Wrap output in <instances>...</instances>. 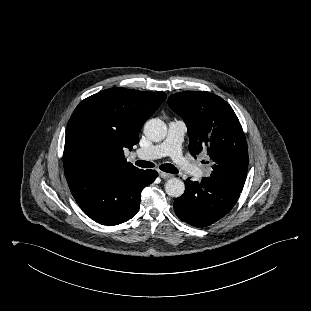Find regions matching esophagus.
Here are the masks:
<instances>
[{
  "label": "esophagus",
  "mask_w": 311,
  "mask_h": 311,
  "mask_svg": "<svg viewBox=\"0 0 311 311\" xmlns=\"http://www.w3.org/2000/svg\"><path fill=\"white\" fill-rule=\"evenodd\" d=\"M159 176L163 179H168V178H171L173 175L166 173V172H163V171H159Z\"/></svg>",
  "instance_id": "obj_1"
}]
</instances>
